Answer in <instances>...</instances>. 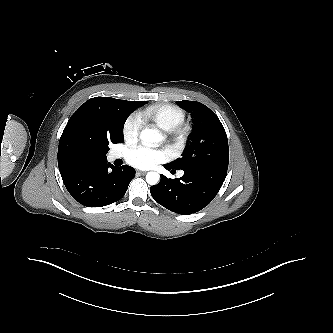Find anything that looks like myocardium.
<instances>
[{
	"label": "myocardium",
	"mask_w": 333,
	"mask_h": 333,
	"mask_svg": "<svg viewBox=\"0 0 333 333\" xmlns=\"http://www.w3.org/2000/svg\"><path fill=\"white\" fill-rule=\"evenodd\" d=\"M188 127L180 124L172 129L164 131V138L169 143V148L173 152L181 151L188 139Z\"/></svg>",
	"instance_id": "1"
}]
</instances>
